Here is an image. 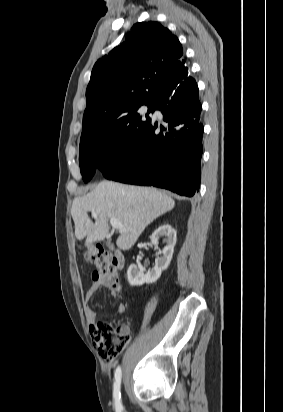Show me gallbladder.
<instances>
[{
  "instance_id": "obj_1",
  "label": "gallbladder",
  "mask_w": 283,
  "mask_h": 412,
  "mask_svg": "<svg viewBox=\"0 0 283 412\" xmlns=\"http://www.w3.org/2000/svg\"><path fill=\"white\" fill-rule=\"evenodd\" d=\"M110 248H111V249H113V246H112V245H110Z\"/></svg>"
}]
</instances>
